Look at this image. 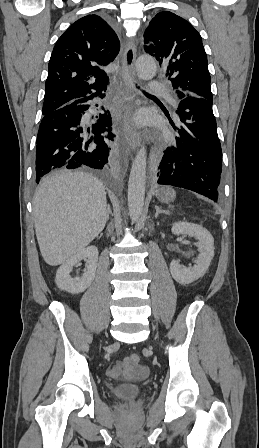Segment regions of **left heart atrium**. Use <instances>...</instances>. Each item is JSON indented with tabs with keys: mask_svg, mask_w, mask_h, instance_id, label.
I'll use <instances>...</instances> for the list:
<instances>
[{
	"mask_svg": "<svg viewBox=\"0 0 259 448\" xmlns=\"http://www.w3.org/2000/svg\"><path fill=\"white\" fill-rule=\"evenodd\" d=\"M182 154H183V152L181 150H173L168 153V157L171 160H175V159L179 158Z\"/></svg>",
	"mask_w": 259,
	"mask_h": 448,
	"instance_id": "obj_1",
	"label": "left heart atrium"
}]
</instances>
